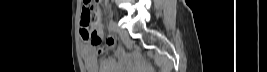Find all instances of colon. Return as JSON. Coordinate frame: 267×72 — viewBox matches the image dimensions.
<instances>
[{
	"label": "colon",
	"mask_w": 267,
	"mask_h": 72,
	"mask_svg": "<svg viewBox=\"0 0 267 72\" xmlns=\"http://www.w3.org/2000/svg\"><path fill=\"white\" fill-rule=\"evenodd\" d=\"M102 9L97 1L85 0L81 14V34L90 43L102 49L103 32L101 28Z\"/></svg>",
	"instance_id": "5ec220e1"
}]
</instances>
